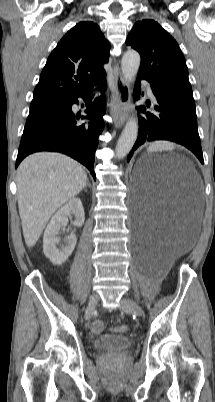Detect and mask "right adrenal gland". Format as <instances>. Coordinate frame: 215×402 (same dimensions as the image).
Returning <instances> with one entry per match:
<instances>
[{
  "mask_svg": "<svg viewBox=\"0 0 215 402\" xmlns=\"http://www.w3.org/2000/svg\"><path fill=\"white\" fill-rule=\"evenodd\" d=\"M87 186L90 187V183H89V182H87V184L85 185L84 189H86Z\"/></svg>",
  "mask_w": 215,
  "mask_h": 402,
  "instance_id": "right-adrenal-gland-1",
  "label": "right adrenal gland"
}]
</instances>
